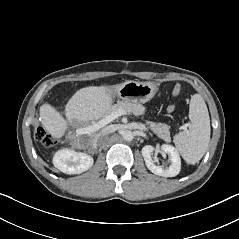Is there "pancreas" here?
I'll list each match as a JSON object with an SVG mask.
<instances>
[{
    "instance_id": "cf45deb5",
    "label": "pancreas",
    "mask_w": 239,
    "mask_h": 239,
    "mask_svg": "<svg viewBox=\"0 0 239 239\" xmlns=\"http://www.w3.org/2000/svg\"><path fill=\"white\" fill-rule=\"evenodd\" d=\"M117 110H125L128 113H133L135 116H141L145 113L146 108L140 103L118 102L111 107L108 114ZM146 124L158 137L166 142L171 141L169 126L167 124L155 123L151 121H147Z\"/></svg>"
}]
</instances>
